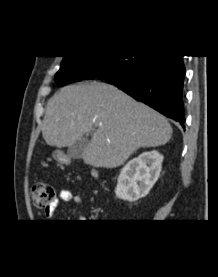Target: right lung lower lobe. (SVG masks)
Returning a JSON list of instances; mask_svg holds the SVG:
<instances>
[{
    "label": "right lung lower lobe",
    "mask_w": 218,
    "mask_h": 277,
    "mask_svg": "<svg viewBox=\"0 0 218 277\" xmlns=\"http://www.w3.org/2000/svg\"><path fill=\"white\" fill-rule=\"evenodd\" d=\"M183 56H150L147 62L126 82H110L133 98L142 101L163 115L185 122L183 82L185 66ZM103 79L85 74L83 79ZM82 80V79H81Z\"/></svg>",
    "instance_id": "right-lung-lower-lobe-1"
}]
</instances>
